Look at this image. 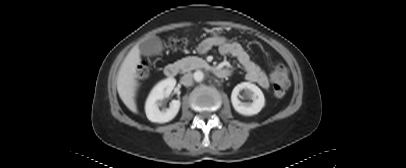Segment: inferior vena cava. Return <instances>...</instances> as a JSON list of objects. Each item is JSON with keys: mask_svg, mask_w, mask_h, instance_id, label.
Returning <instances> with one entry per match:
<instances>
[{"mask_svg": "<svg viewBox=\"0 0 406 168\" xmlns=\"http://www.w3.org/2000/svg\"><path fill=\"white\" fill-rule=\"evenodd\" d=\"M182 83L184 86L188 87L191 86L193 83V75L191 73H187L182 77Z\"/></svg>", "mask_w": 406, "mask_h": 168, "instance_id": "obj_1", "label": "inferior vena cava"}]
</instances>
